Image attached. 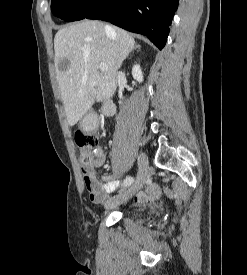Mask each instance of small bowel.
Instances as JSON below:
<instances>
[{
    "label": "small bowel",
    "mask_w": 247,
    "mask_h": 275,
    "mask_svg": "<svg viewBox=\"0 0 247 275\" xmlns=\"http://www.w3.org/2000/svg\"><path fill=\"white\" fill-rule=\"evenodd\" d=\"M88 123L95 127L97 120L95 118H89ZM106 159V154L102 148H98L95 151V158L89 164V167L82 170L83 180L86 189L89 192V198L95 203H100L104 200L105 195L116 190L119 186L118 178L122 176V173L114 175H106L102 177L103 182L99 183L96 179L95 168L103 164ZM160 195V188L156 184H149L146 191L140 192L135 197L137 202H144L152 200Z\"/></svg>",
    "instance_id": "1"
}]
</instances>
